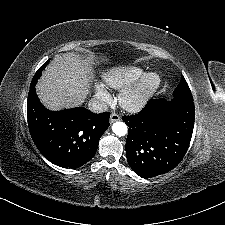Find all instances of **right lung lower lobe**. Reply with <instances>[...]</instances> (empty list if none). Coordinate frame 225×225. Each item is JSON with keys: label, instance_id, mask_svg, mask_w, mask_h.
<instances>
[{"label": "right lung lower lobe", "instance_id": "right-lung-lower-lobe-1", "mask_svg": "<svg viewBox=\"0 0 225 225\" xmlns=\"http://www.w3.org/2000/svg\"><path fill=\"white\" fill-rule=\"evenodd\" d=\"M27 116L31 137L42 155L55 165L73 169L95 155L110 113L95 114L83 107L50 111L39 101L35 86H30Z\"/></svg>", "mask_w": 225, "mask_h": 225}]
</instances>
